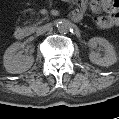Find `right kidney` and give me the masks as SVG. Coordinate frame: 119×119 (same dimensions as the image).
Wrapping results in <instances>:
<instances>
[{"label":"right kidney","instance_id":"1","mask_svg":"<svg viewBox=\"0 0 119 119\" xmlns=\"http://www.w3.org/2000/svg\"><path fill=\"white\" fill-rule=\"evenodd\" d=\"M20 47L21 43L15 42L4 54V66L9 73H23L31 68L34 63V57L32 55H22L19 52Z\"/></svg>","mask_w":119,"mask_h":119}]
</instances>
